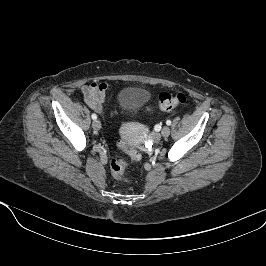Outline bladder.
<instances>
[{"label":"bladder","instance_id":"1","mask_svg":"<svg viewBox=\"0 0 266 266\" xmlns=\"http://www.w3.org/2000/svg\"><path fill=\"white\" fill-rule=\"evenodd\" d=\"M148 93L137 87H127L120 91L119 101L123 111L133 113L141 109L148 101Z\"/></svg>","mask_w":266,"mask_h":266}]
</instances>
